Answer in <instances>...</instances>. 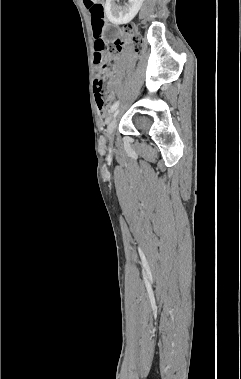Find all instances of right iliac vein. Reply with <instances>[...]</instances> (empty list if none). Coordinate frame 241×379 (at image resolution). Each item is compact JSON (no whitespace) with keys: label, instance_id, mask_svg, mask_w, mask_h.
<instances>
[{"label":"right iliac vein","instance_id":"1","mask_svg":"<svg viewBox=\"0 0 241 379\" xmlns=\"http://www.w3.org/2000/svg\"><path fill=\"white\" fill-rule=\"evenodd\" d=\"M118 113H119V109L114 110L113 116H112V121L110 122V124L107 127L106 137L109 140L112 139V136H113V133H114V130H115V127H116V117H117Z\"/></svg>","mask_w":241,"mask_h":379}]
</instances>
